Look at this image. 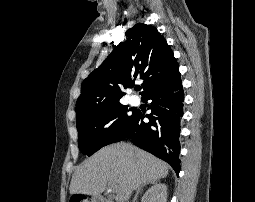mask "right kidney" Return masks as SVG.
Wrapping results in <instances>:
<instances>
[{"instance_id":"right-kidney-1","label":"right kidney","mask_w":255,"mask_h":202,"mask_svg":"<svg viewBox=\"0 0 255 202\" xmlns=\"http://www.w3.org/2000/svg\"><path fill=\"white\" fill-rule=\"evenodd\" d=\"M142 202H167V186L156 183L145 193Z\"/></svg>"}]
</instances>
